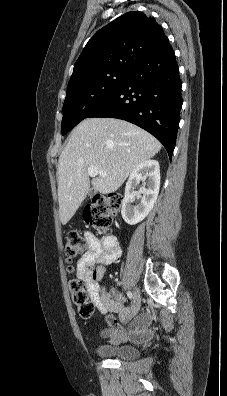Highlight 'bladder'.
I'll return each mask as SVG.
<instances>
[{
    "mask_svg": "<svg viewBox=\"0 0 227 396\" xmlns=\"http://www.w3.org/2000/svg\"><path fill=\"white\" fill-rule=\"evenodd\" d=\"M97 356L118 360H132L138 356V350L129 345H98L95 348Z\"/></svg>",
    "mask_w": 227,
    "mask_h": 396,
    "instance_id": "1",
    "label": "bladder"
}]
</instances>
